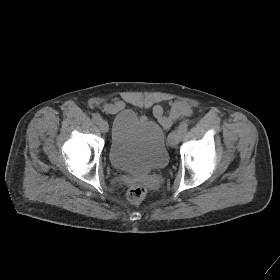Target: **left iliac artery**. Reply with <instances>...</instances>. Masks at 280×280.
<instances>
[{
    "label": "left iliac artery",
    "instance_id": "44dca946",
    "mask_svg": "<svg viewBox=\"0 0 280 280\" xmlns=\"http://www.w3.org/2000/svg\"><path fill=\"white\" fill-rule=\"evenodd\" d=\"M188 130V124L187 122H182L178 127V132L182 135L186 134Z\"/></svg>",
    "mask_w": 280,
    "mask_h": 280
}]
</instances>
